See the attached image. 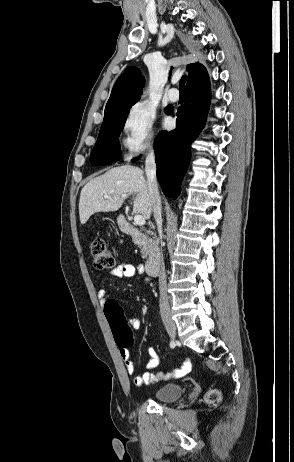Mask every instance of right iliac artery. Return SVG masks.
<instances>
[{
	"label": "right iliac artery",
	"mask_w": 294,
	"mask_h": 462,
	"mask_svg": "<svg viewBox=\"0 0 294 462\" xmlns=\"http://www.w3.org/2000/svg\"><path fill=\"white\" fill-rule=\"evenodd\" d=\"M170 347H171V348H174V347H175V342H174V341H171Z\"/></svg>",
	"instance_id": "obj_1"
}]
</instances>
